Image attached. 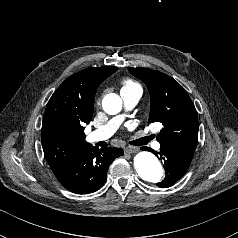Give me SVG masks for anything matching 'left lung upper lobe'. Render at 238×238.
<instances>
[{"label":"left lung upper lobe","instance_id":"1","mask_svg":"<svg viewBox=\"0 0 238 238\" xmlns=\"http://www.w3.org/2000/svg\"><path fill=\"white\" fill-rule=\"evenodd\" d=\"M142 80L150 93L149 123L160 122V144L195 149L198 143V116L186 90L172 77L148 68H128Z\"/></svg>","mask_w":238,"mask_h":238}]
</instances>
